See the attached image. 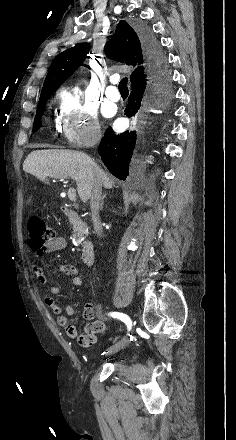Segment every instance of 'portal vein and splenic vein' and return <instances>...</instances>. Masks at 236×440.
I'll return each mask as SVG.
<instances>
[{
	"label": "portal vein and splenic vein",
	"instance_id": "18ae733b",
	"mask_svg": "<svg viewBox=\"0 0 236 440\" xmlns=\"http://www.w3.org/2000/svg\"><path fill=\"white\" fill-rule=\"evenodd\" d=\"M54 178H58V177H54ZM61 180H64V178H61ZM68 197L71 201L75 202L76 201V190L74 188H70L68 190Z\"/></svg>",
	"mask_w": 236,
	"mask_h": 440
}]
</instances>
